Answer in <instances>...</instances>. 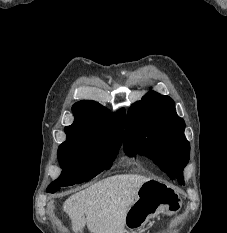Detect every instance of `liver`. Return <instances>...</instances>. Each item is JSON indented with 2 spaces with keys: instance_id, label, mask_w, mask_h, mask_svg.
I'll use <instances>...</instances> for the list:
<instances>
[{
  "instance_id": "6515ba94",
  "label": "liver",
  "mask_w": 227,
  "mask_h": 233,
  "mask_svg": "<svg viewBox=\"0 0 227 233\" xmlns=\"http://www.w3.org/2000/svg\"><path fill=\"white\" fill-rule=\"evenodd\" d=\"M149 180L138 174H118L70 196L63 210L73 231L82 233L87 224L91 233H124L127 212L138 189Z\"/></svg>"
}]
</instances>
